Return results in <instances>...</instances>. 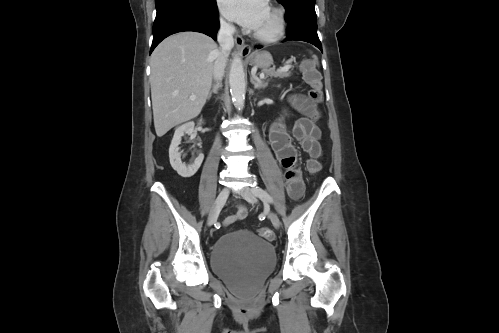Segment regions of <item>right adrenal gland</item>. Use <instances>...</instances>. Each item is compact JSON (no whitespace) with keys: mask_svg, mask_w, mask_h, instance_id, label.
<instances>
[{"mask_svg":"<svg viewBox=\"0 0 499 333\" xmlns=\"http://www.w3.org/2000/svg\"><path fill=\"white\" fill-rule=\"evenodd\" d=\"M222 87V83L220 81H217L216 83L213 84L211 91L208 94L207 99L209 100L212 96V93L217 94L218 90Z\"/></svg>","mask_w":499,"mask_h":333,"instance_id":"1","label":"right adrenal gland"}]
</instances>
